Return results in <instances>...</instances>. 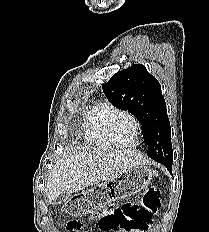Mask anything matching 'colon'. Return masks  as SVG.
<instances>
[{"instance_id":"obj_1","label":"colon","mask_w":209,"mask_h":232,"mask_svg":"<svg viewBox=\"0 0 209 232\" xmlns=\"http://www.w3.org/2000/svg\"><path fill=\"white\" fill-rule=\"evenodd\" d=\"M160 207V193L155 187L148 188L141 200V205L136 203H124L120 206L111 207L102 212L90 214L99 224L101 229L113 228H139L152 226L150 216L155 215ZM87 215V214H86ZM78 221H70V231L80 228Z\"/></svg>"}]
</instances>
